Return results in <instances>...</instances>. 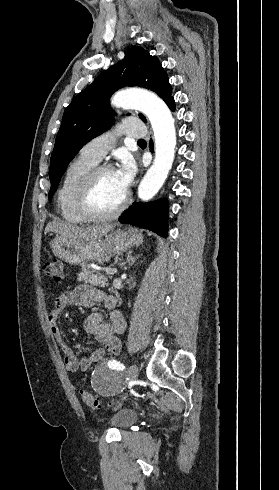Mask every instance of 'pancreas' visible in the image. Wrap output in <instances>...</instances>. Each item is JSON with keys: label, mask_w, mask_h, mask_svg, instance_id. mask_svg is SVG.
<instances>
[{"label": "pancreas", "mask_w": 279, "mask_h": 490, "mask_svg": "<svg viewBox=\"0 0 279 490\" xmlns=\"http://www.w3.org/2000/svg\"><path fill=\"white\" fill-rule=\"evenodd\" d=\"M78 282H84V284H91V286H100V288H105L108 286V278H112L113 274H109V276H102L100 272H94V270H90L88 266H81V272L77 274Z\"/></svg>", "instance_id": "1"}]
</instances>
